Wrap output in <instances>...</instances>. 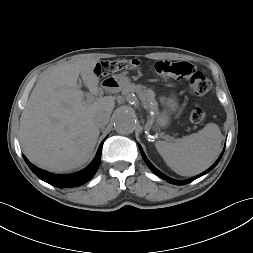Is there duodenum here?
<instances>
[{"label": "duodenum", "mask_w": 253, "mask_h": 253, "mask_svg": "<svg viewBox=\"0 0 253 253\" xmlns=\"http://www.w3.org/2000/svg\"><path fill=\"white\" fill-rule=\"evenodd\" d=\"M109 86H111V84H109L108 82H104V83L102 84V88H103V89H107Z\"/></svg>", "instance_id": "410a0bca"}]
</instances>
